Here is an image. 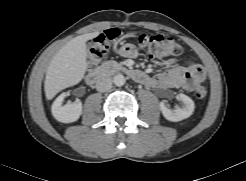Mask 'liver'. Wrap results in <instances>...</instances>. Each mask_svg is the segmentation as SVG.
I'll return each mask as SVG.
<instances>
[{
	"label": "liver",
	"mask_w": 246,
	"mask_h": 181,
	"mask_svg": "<svg viewBox=\"0 0 246 181\" xmlns=\"http://www.w3.org/2000/svg\"><path fill=\"white\" fill-rule=\"evenodd\" d=\"M98 35L99 32H93L77 36L55 54L47 68L44 82L45 96L48 100L83 79L87 61L86 42Z\"/></svg>",
	"instance_id": "obj_1"
}]
</instances>
